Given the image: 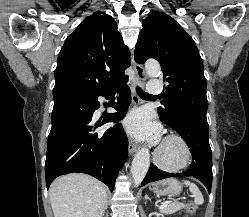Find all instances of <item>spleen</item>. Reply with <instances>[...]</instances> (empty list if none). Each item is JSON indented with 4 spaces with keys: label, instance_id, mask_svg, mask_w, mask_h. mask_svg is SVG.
I'll return each mask as SVG.
<instances>
[{
    "label": "spleen",
    "instance_id": "3e777b00",
    "mask_svg": "<svg viewBox=\"0 0 249 217\" xmlns=\"http://www.w3.org/2000/svg\"><path fill=\"white\" fill-rule=\"evenodd\" d=\"M184 183L189 186V190L190 192L193 194L194 196V202L197 205H201L204 202L202 193L200 192L199 188L197 187L196 184L190 182V181H184Z\"/></svg>",
    "mask_w": 249,
    "mask_h": 217
}]
</instances>
